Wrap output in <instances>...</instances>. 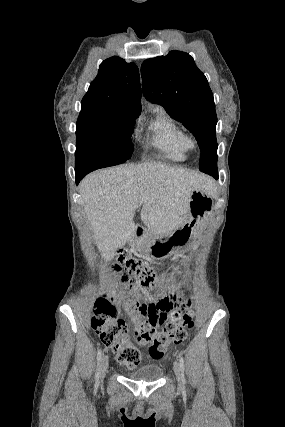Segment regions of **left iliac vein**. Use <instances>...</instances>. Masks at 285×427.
<instances>
[{
    "label": "left iliac vein",
    "instance_id": "left-iliac-vein-1",
    "mask_svg": "<svg viewBox=\"0 0 285 427\" xmlns=\"http://www.w3.org/2000/svg\"><path fill=\"white\" fill-rule=\"evenodd\" d=\"M173 370H174V373L176 375L178 383L182 384V382H181V371H180L179 364L177 362L174 363Z\"/></svg>",
    "mask_w": 285,
    "mask_h": 427
}]
</instances>
